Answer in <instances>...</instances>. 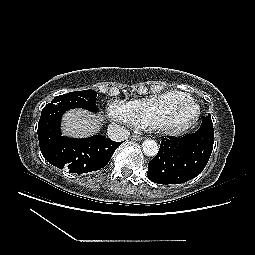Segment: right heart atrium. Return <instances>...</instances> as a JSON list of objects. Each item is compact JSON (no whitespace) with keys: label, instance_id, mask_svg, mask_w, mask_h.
<instances>
[{"label":"right heart atrium","instance_id":"d8ad5b80","mask_svg":"<svg viewBox=\"0 0 255 255\" xmlns=\"http://www.w3.org/2000/svg\"><path fill=\"white\" fill-rule=\"evenodd\" d=\"M107 111L112 118L124 121V103L118 101L111 102L107 106Z\"/></svg>","mask_w":255,"mask_h":255}]
</instances>
